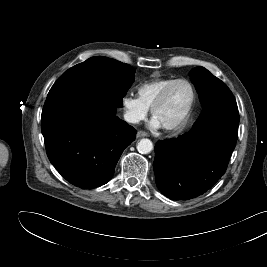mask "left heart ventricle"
<instances>
[{"label":"left heart ventricle","mask_w":267,"mask_h":267,"mask_svg":"<svg viewBox=\"0 0 267 267\" xmlns=\"http://www.w3.org/2000/svg\"><path fill=\"white\" fill-rule=\"evenodd\" d=\"M192 98L190 87L185 83L175 85L165 101L158 107L155 117L161 125H170L182 118Z\"/></svg>","instance_id":"1"}]
</instances>
